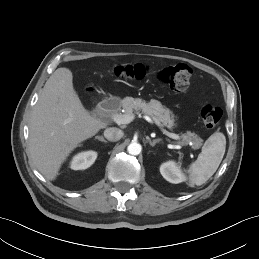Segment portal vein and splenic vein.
<instances>
[{"instance_id":"1","label":"portal vein and splenic vein","mask_w":259,"mask_h":259,"mask_svg":"<svg viewBox=\"0 0 259 259\" xmlns=\"http://www.w3.org/2000/svg\"><path fill=\"white\" fill-rule=\"evenodd\" d=\"M133 119H134L133 114H113L112 115V120L117 124H128V123L132 122ZM158 125H160V124H158ZM163 133L172 139L180 140V136L175 133H170L164 129H163Z\"/></svg>"}]
</instances>
